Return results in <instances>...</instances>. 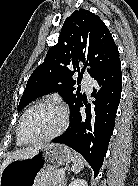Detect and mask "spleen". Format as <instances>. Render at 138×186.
<instances>
[{"label":"spleen","mask_w":138,"mask_h":186,"mask_svg":"<svg viewBox=\"0 0 138 186\" xmlns=\"http://www.w3.org/2000/svg\"><path fill=\"white\" fill-rule=\"evenodd\" d=\"M71 161H72L71 170L74 173L77 174L84 168V160H83L82 156L80 154H78L77 152L72 153Z\"/></svg>","instance_id":"spleen-1"}]
</instances>
